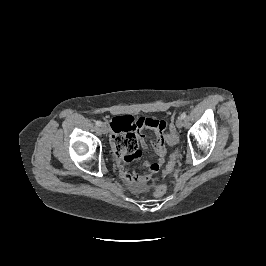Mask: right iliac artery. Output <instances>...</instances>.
<instances>
[{
  "label": "right iliac artery",
  "instance_id": "obj_1",
  "mask_svg": "<svg viewBox=\"0 0 266 266\" xmlns=\"http://www.w3.org/2000/svg\"><path fill=\"white\" fill-rule=\"evenodd\" d=\"M96 125L97 126H101L102 125V122L101 121H96Z\"/></svg>",
  "mask_w": 266,
  "mask_h": 266
}]
</instances>
